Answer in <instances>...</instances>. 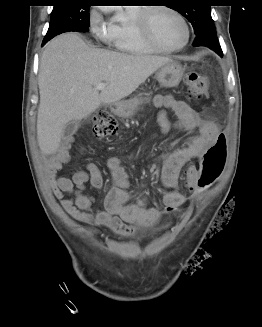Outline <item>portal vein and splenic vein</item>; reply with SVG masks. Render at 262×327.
Here are the masks:
<instances>
[{
	"instance_id": "1",
	"label": "portal vein and splenic vein",
	"mask_w": 262,
	"mask_h": 327,
	"mask_svg": "<svg viewBox=\"0 0 262 327\" xmlns=\"http://www.w3.org/2000/svg\"><path fill=\"white\" fill-rule=\"evenodd\" d=\"M107 87V84H105V83H99V84H97L96 86H95V89H97V90H103V89H105Z\"/></svg>"
}]
</instances>
